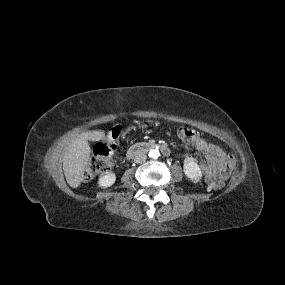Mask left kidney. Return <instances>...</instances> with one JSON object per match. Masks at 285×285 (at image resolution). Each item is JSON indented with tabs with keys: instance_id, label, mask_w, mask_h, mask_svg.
Listing matches in <instances>:
<instances>
[{
	"instance_id": "5707ae66",
	"label": "left kidney",
	"mask_w": 285,
	"mask_h": 285,
	"mask_svg": "<svg viewBox=\"0 0 285 285\" xmlns=\"http://www.w3.org/2000/svg\"><path fill=\"white\" fill-rule=\"evenodd\" d=\"M184 173L192 181H198L202 177L201 169L193 159L185 161Z\"/></svg>"
}]
</instances>
